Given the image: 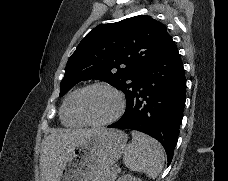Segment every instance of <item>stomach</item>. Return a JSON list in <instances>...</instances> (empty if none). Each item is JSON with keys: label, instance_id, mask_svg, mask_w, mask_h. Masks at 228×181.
I'll list each match as a JSON object with an SVG mask.
<instances>
[{"label": "stomach", "instance_id": "stomach-1", "mask_svg": "<svg viewBox=\"0 0 228 181\" xmlns=\"http://www.w3.org/2000/svg\"><path fill=\"white\" fill-rule=\"evenodd\" d=\"M127 135L116 129L90 133L72 149L61 181H109L110 171L120 159Z\"/></svg>", "mask_w": 228, "mask_h": 181}]
</instances>
